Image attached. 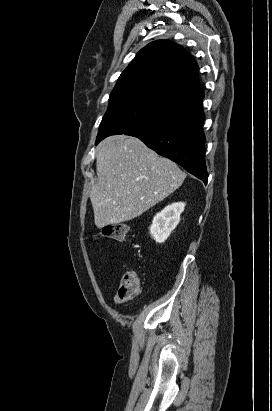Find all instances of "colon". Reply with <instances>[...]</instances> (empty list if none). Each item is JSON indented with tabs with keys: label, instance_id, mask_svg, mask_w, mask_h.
<instances>
[{
	"label": "colon",
	"instance_id": "colon-1",
	"mask_svg": "<svg viewBox=\"0 0 272 411\" xmlns=\"http://www.w3.org/2000/svg\"><path fill=\"white\" fill-rule=\"evenodd\" d=\"M128 233L127 225L123 223L107 224L101 230V236L114 240H124ZM140 292V279L135 270L129 269L121 277L117 296L121 301H130Z\"/></svg>",
	"mask_w": 272,
	"mask_h": 411
}]
</instances>
